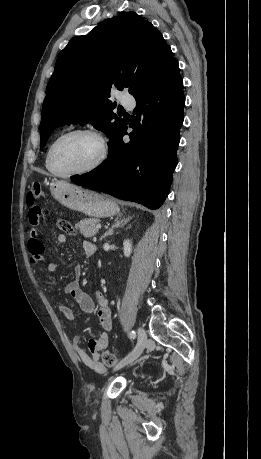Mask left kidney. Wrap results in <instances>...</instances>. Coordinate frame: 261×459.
Wrapping results in <instances>:
<instances>
[{
	"instance_id": "5707ae66",
	"label": "left kidney",
	"mask_w": 261,
	"mask_h": 459,
	"mask_svg": "<svg viewBox=\"0 0 261 459\" xmlns=\"http://www.w3.org/2000/svg\"><path fill=\"white\" fill-rule=\"evenodd\" d=\"M123 249H124V255L126 257H129L132 252V243L129 239L123 242Z\"/></svg>"
}]
</instances>
